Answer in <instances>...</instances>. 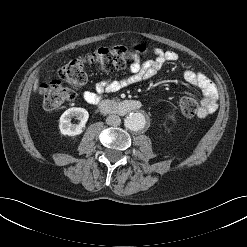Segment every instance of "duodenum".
Listing matches in <instances>:
<instances>
[{"label": "duodenum", "mask_w": 247, "mask_h": 247, "mask_svg": "<svg viewBox=\"0 0 247 247\" xmlns=\"http://www.w3.org/2000/svg\"><path fill=\"white\" fill-rule=\"evenodd\" d=\"M98 108L104 113L124 115L140 110L142 108V103L134 99H106L99 102Z\"/></svg>", "instance_id": "410a0bca"}]
</instances>
